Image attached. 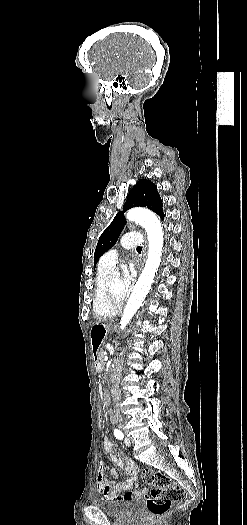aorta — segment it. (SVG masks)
Segmentation results:
<instances>
[{"mask_svg":"<svg viewBox=\"0 0 247 525\" xmlns=\"http://www.w3.org/2000/svg\"><path fill=\"white\" fill-rule=\"evenodd\" d=\"M126 218L127 220L134 221L145 228L148 236L149 249L145 267L138 278L124 309L120 321V328L122 330L133 318L150 290L161 262L164 241L161 223L153 212L143 208H134L128 211Z\"/></svg>","mask_w":247,"mask_h":525,"instance_id":"1","label":"aorta"}]
</instances>
